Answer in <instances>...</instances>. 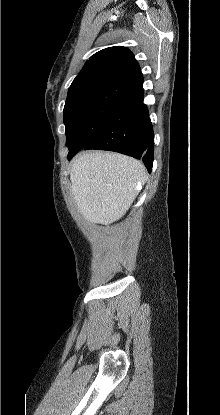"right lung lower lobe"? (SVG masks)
Wrapping results in <instances>:
<instances>
[{"mask_svg":"<svg viewBox=\"0 0 220 415\" xmlns=\"http://www.w3.org/2000/svg\"><path fill=\"white\" fill-rule=\"evenodd\" d=\"M83 148L115 151L141 159L151 173L154 133L147 106L143 103V88L119 106ZM80 149L70 148L68 159L71 160Z\"/></svg>","mask_w":220,"mask_h":415,"instance_id":"right-lung-lower-lobe-1","label":"right lung lower lobe"}]
</instances>
